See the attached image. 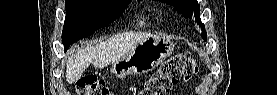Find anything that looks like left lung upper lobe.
<instances>
[{
    "label": "left lung upper lobe",
    "mask_w": 277,
    "mask_h": 95,
    "mask_svg": "<svg viewBox=\"0 0 277 95\" xmlns=\"http://www.w3.org/2000/svg\"><path fill=\"white\" fill-rule=\"evenodd\" d=\"M140 1V0H138ZM160 2H166L169 5L175 7L185 18L192 19L195 17V22L202 28V37L206 38L205 25L200 19V8L197 0H159Z\"/></svg>",
    "instance_id": "obj_1"
}]
</instances>
